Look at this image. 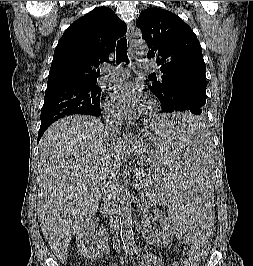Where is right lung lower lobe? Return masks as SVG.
I'll use <instances>...</instances> for the list:
<instances>
[{
    "label": "right lung lower lobe",
    "instance_id": "98d812e1",
    "mask_svg": "<svg viewBox=\"0 0 253 266\" xmlns=\"http://www.w3.org/2000/svg\"><path fill=\"white\" fill-rule=\"evenodd\" d=\"M100 114H101V110L97 114L90 113L89 115L99 116ZM48 127L49 126H40V129L38 132V142Z\"/></svg>",
    "mask_w": 253,
    "mask_h": 266
}]
</instances>
